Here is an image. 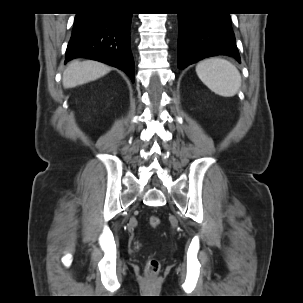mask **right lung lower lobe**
<instances>
[{
  "mask_svg": "<svg viewBox=\"0 0 303 303\" xmlns=\"http://www.w3.org/2000/svg\"><path fill=\"white\" fill-rule=\"evenodd\" d=\"M132 14L111 9H91L76 14L66 61L84 57L123 70L134 82L130 49Z\"/></svg>",
  "mask_w": 303,
  "mask_h": 303,
  "instance_id": "right-lung-lower-lobe-1",
  "label": "right lung lower lobe"
}]
</instances>
